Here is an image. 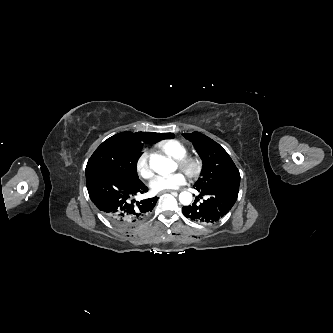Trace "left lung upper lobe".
I'll list each match as a JSON object with an SVG mask.
<instances>
[{
  "mask_svg": "<svg viewBox=\"0 0 333 333\" xmlns=\"http://www.w3.org/2000/svg\"><path fill=\"white\" fill-rule=\"evenodd\" d=\"M183 136L193 143L203 162L201 177L194 184L196 189L239 186L240 173L221 145L199 132L183 133ZM228 200V194H225L218 199V202L226 203Z\"/></svg>",
  "mask_w": 333,
  "mask_h": 333,
  "instance_id": "obj_1",
  "label": "left lung upper lobe"
}]
</instances>
